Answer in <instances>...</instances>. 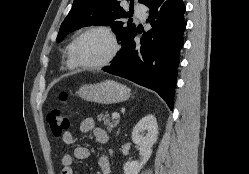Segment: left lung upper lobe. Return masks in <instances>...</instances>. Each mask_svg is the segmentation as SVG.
Here are the masks:
<instances>
[{
    "mask_svg": "<svg viewBox=\"0 0 249 174\" xmlns=\"http://www.w3.org/2000/svg\"><path fill=\"white\" fill-rule=\"evenodd\" d=\"M138 1L145 5L149 0ZM129 14L120 7L119 0H74L69 14L61 24L56 40L61 41L69 32L83 26L105 25L111 26L117 32V41L123 46L137 32L134 24L126 25L121 21Z\"/></svg>",
    "mask_w": 249,
    "mask_h": 174,
    "instance_id": "obj_1",
    "label": "left lung upper lobe"
}]
</instances>
